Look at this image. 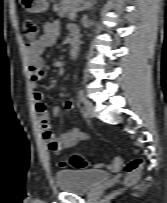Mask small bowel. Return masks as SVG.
Segmentation results:
<instances>
[{"instance_id": "c3829d8e", "label": "small bowel", "mask_w": 167, "mask_h": 203, "mask_svg": "<svg viewBox=\"0 0 167 203\" xmlns=\"http://www.w3.org/2000/svg\"><path fill=\"white\" fill-rule=\"evenodd\" d=\"M72 34L76 37L74 29ZM61 26L58 22H48L44 25V32L38 40L27 47V54L29 59V74L33 85L45 75L47 66L41 58V53L44 49L53 47L60 35ZM35 113L38 119L39 126L45 140L46 147L54 154H59L63 150L76 145L79 141L84 140L86 135L78 128H71L69 131L54 136L50 127L49 106L43 102V94L40 91L34 92ZM74 108L72 100L67 101L63 108L55 104L50 108L53 116H59L62 112L68 114ZM115 164L117 166L115 167ZM121 166L119 160L108 165L109 168L118 169Z\"/></svg>"}]
</instances>
